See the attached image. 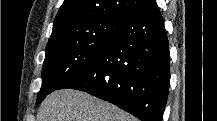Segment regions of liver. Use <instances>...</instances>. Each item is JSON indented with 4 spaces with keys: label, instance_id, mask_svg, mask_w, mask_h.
<instances>
[{
    "label": "liver",
    "instance_id": "1",
    "mask_svg": "<svg viewBox=\"0 0 217 121\" xmlns=\"http://www.w3.org/2000/svg\"><path fill=\"white\" fill-rule=\"evenodd\" d=\"M37 121H136V118L87 93L63 89L46 97Z\"/></svg>",
    "mask_w": 217,
    "mask_h": 121
}]
</instances>
